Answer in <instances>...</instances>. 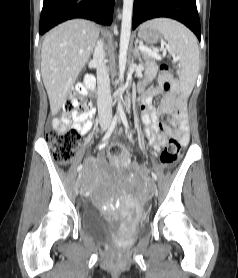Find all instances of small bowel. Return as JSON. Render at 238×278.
Instances as JSON below:
<instances>
[{
	"mask_svg": "<svg viewBox=\"0 0 238 278\" xmlns=\"http://www.w3.org/2000/svg\"><path fill=\"white\" fill-rule=\"evenodd\" d=\"M157 67L151 63L148 66L147 78L151 79L155 76ZM163 94L159 107L156 109L151 105L152 98L155 95ZM186 92L179 90L178 85L173 82V86L169 91L163 88L160 78L159 84L155 87L147 89L141 98L142 121L145 126L144 134L149 145L155 151H159L167 142V138L175 134L182 145H186L189 141V126L186 119ZM169 114L171 116L169 124L165 125L160 117ZM94 111L88 113L71 114L62 113L59 118H55L52 122L55 128L65 129L69 126L75 128L81 135L87 134L93 127ZM123 167L133 166L130 162L129 155L118 162Z\"/></svg>",
	"mask_w": 238,
	"mask_h": 278,
	"instance_id": "1",
	"label": "small bowel"
}]
</instances>
